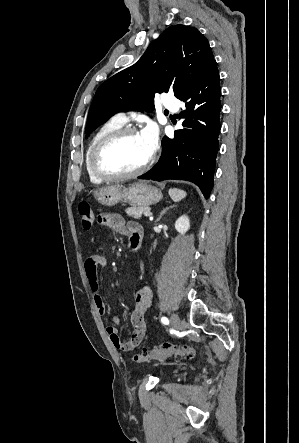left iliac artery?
Instances as JSON below:
<instances>
[{"instance_id":"1","label":"left iliac artery","mask_w":299,"mask_h":443,"mask_svg":"<svg viewBox=\"0 0 299 443\" xmlns=\"http://www.w3.org/2000/svg\"><path fill=\"white\" fill-rule=\"evenodd\" d=\"M161 322H162L163 324H165V325H168V324H169V320H168V318H166V317H162V318H161Z\"/></svg>"}]
</instances>
